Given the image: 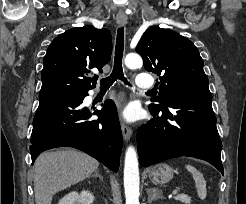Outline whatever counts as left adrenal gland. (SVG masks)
Returning a JSON list of instances; mask_svg holds the SVG:
<instances>
[{"label":"left adrenal gland","instance_id":"left-adrenal-gland-1","mask_svg":"<svg viewBox=\"0 0 246 204\" xmlns=\"http://www.w3.org/2000/svg\"><path fill=\"white\" fill-rule=\"evenodd\" d=\"M147 193H148V202L150 203L156 197V192L153 191V193H152V192L147 190Z\"/></svg>","mask_w":246,"mask_h":204}]
</instances>
